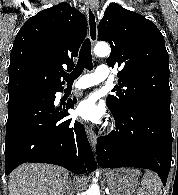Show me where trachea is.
I'll list each match as a JSON object with an SVG mask.
<instances>
[{
	"label": "trachea",
	"mask_w": 178,
	"mask_h": 195,
	"mask_svg": "<svg viewBox=\"0 0 178 195\" xmlns=\"http://www.w3.org/2000/svg\"><path fill=\"white\" fill-rule=\"evenodd\" d=\"M84 69L92 70L93 63H92V56H91V42L90 39L87 38L83 42L79 53V59L77 65L71 72V74H64L63 77L67 82H73L77 79Z\"/></svg>",
	"instance_id": "obj_1"
}]
</instances>
